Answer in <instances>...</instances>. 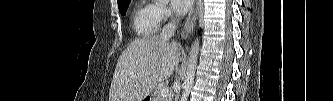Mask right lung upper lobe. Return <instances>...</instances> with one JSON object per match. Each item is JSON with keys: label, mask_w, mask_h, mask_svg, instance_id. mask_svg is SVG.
<instances>
[{"label": "right lung upper lobe", "mask_w": 333, "mask_h": 101, "mask_svg": "<svg viewBox=\"0 0 333 101\" xmlns=\"http://www.w3.org/2000/svg\"><path fill=\"white\" fill-rule=\"evenodd\" d=\"M124 1H126V0H117L118 4H121Z\"/></svg>", "instance_id": "obj_1"}]
</instances>
